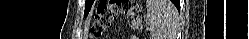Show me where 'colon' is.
Listing matches in <instances>:
<instances>
[{
    "mask_svg": "<svg viewBox=\"0 0 249 39\" xmlns=\"http://www.w3.org/2000/svg\"><path fill=\"white\" fill-rule=\"evenodd\" d=\"M136 0H108L100 1L92 18L90 35L101 37L116 20L118 15L126 14L131 28L138 30L142 21V9Z\"/></svg>",
    "mask_w": 249,
    "mask_h": 39,
    "instance_id": "obj_1",
    "label": "colon"
}]
</instances>
